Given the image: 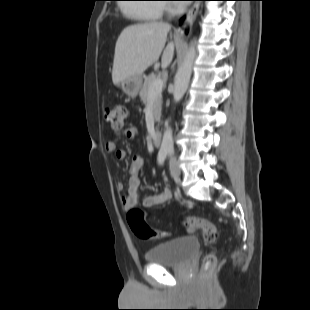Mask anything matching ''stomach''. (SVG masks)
Listing matches in <instances>:
<instances>
[{
  "mask_svg": "<svg viewBox=\"0 0 310 310\" xmlns=\"http://www.w3.org/2000/svg\"><path fill=\"white\" fill-rule=\"evenodd\" d=\"M141 85L142 79L140 76L128 77L117 84L129 97H136Z\"/></svg>",
  "mask_w": 310,
  "mask_h": 310,
  "instance_id": "obj_1",
  "label": "stomach"
}]
</instances>
